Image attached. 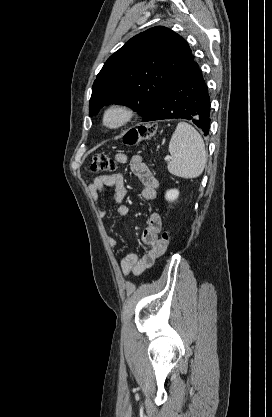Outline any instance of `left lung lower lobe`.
Wrapping results in <instances>:
<instances>
[{
	"label": "left lung lower lobe",
	"mask_w": 272,
	"mask_h": 417,
	"mask_svg": "<svg viewBox=\"0 0 272 417\" xmlns=\"http://www.w3.org/2000/svg\"><path fill=\"white\" fill-rule=\"evenodd\" d=\"M210 96L198 64L192 59L175 77L142 122L187 119L204 133L210 129Z\"/></svg>",
	"instance_id": "0a47b994"
}]
</instances>
